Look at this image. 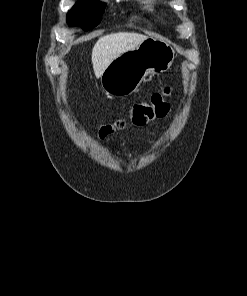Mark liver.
Returning <instances> with one entry per match:
<instances>
[{
	"label": "liver",
	"instance_id": "liver-1",
	"mask_svg": "<svg viewBox=\"0 0 247 296\" xmlns=\"http://www.w3.org/2000/svg\"><path fill=\"white\" fill-rule=\"evenodd\" d=\"M146 38L145 35L129 32L112 33L100 37L92 49L95 76L100 78L114 59L137 47Z\"/></svg>",
	"mask_w": 247,
	"mask_h": 296
}]
</instances>
